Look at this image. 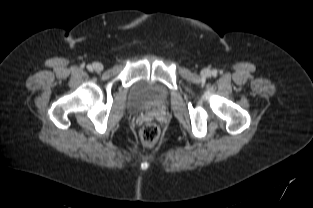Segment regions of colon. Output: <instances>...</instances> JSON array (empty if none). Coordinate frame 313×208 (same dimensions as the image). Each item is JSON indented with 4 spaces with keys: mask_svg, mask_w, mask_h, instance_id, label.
I'll list each match as a JSON object with an SVG mask.
<instances>
[{
    "mask_svg": "<svg viewBox=\"0 0 313 208\" xmlns=\"http://www.w3.org/2000/svg\"><path fill=\"white\" fill-rule=\"evenodd\" d=\"M160 136V128L155 123H146L140 130V138L145 147L153 146Z\"/></svg>",
    "mask_w": 313,
    "mask_h": 208,
    "instance_id": "colon-1",
    "label": "colon"
}]
</instances>
